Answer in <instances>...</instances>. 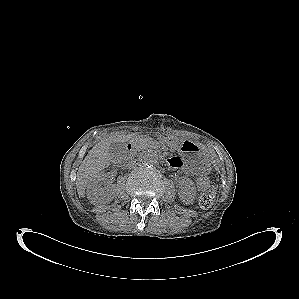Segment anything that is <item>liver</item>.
I'll return each instance as SVG.
<instances>
[{
  "mask_svg": "<svg viewBox=\"0 0 299 299\" xmlns=\"http://www.w3.org/2000/svg\"><path fill=\"white\" fill-rule=\"evenodd\" d=\"M132 136L133 134L112 133L103 137L88 151L77 172L76 186L80 197L84 196L85 189L92 177L107 168L114 157L119 155L110 152L111 144L117 142L124 143L130 140Z\"/></svg>",
  "mask_w": 299,
  "mask_h": 299,
  "instance_id": "obj_1",
  "label": "liver"
}]
</instances>
